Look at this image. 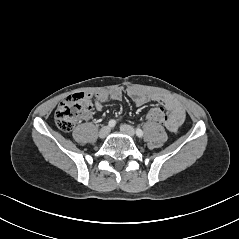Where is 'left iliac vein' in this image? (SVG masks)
Instances as JSON below:
<instances>
[{"mask_svg": "<svg viewBox=\"0 0 239 239\" xmlns=\"http://www.w3.org/2000/svg\"><path fill=\"white\" fill-rule=\"evenodd\" d=\"M120 130H121L123 133H125V134H127V135H129V136H131V137H133V136L135 135V130H134V128H133L132 126H130V125H126V124L121 125Z\"/></svg>", "mask_w": 239, "mask_h": 239, "instance_id": "obj_1", "label": "left iliac vein"}]
</instances>
